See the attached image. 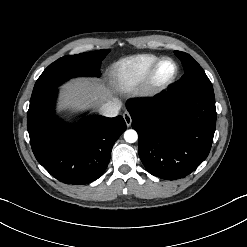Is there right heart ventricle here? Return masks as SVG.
Listing matches in <instances>:
<instances>
[{"label": "right heart ventricle", "mask_w": 247, "mask_h": 247, "mask_svg": "<svg viewBox=\"0 0 247 247\" xmlns=\"http://www.w3.org/2000/svg\"><path fill=\"white\" fill-rule=\"evenodd\" d=\"M158 59L160 57L157 55L141 54L117 61L110 71L114 85L124 92L134 90L143 82Z\"/></svg>", "instance_id": "e07e8e85"}]
</instances>
